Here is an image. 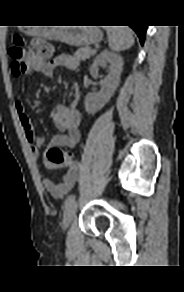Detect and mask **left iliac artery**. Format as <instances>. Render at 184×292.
<instances>
[{
    "instance_id": "44dca946",
    "label": "left iliac artery",
    "mask_w": 184,
    "mask_h": 292,
    "mask_svg": "<svg viewBox=\"0 0 184 292\" xmlns=\"http://www.w3.org/2000/svg\"><path fill=\"white\" fill-rule=\"evenodd\" d=\"M76 196L75 195H70L67 199H66V207H68L69 205H71L72 203L75 202Z\"/></svg>"
}]
</instances>
